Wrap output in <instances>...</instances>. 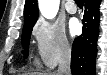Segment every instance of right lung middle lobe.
I'll return each instance as SVG.
<instances>
[{
	"mask_svg": "<svg viewBox=\"0 0 107 75\" xmlns=\"http://www.w3.org/2000/svg\"><path fill=\"white\" fill-rule=\"evenodd\" d=\"M34 26V23H25L22 31V46L24 50L22 51L24 58L28 56L29 51V42H30V36L31 31Z\"/></svg>",
	"mask_w": 107,
	"mask_h": 75,
	"instance_id": "right-lung-middle-lobe-1",
	"label": "right lung middle lobe"
}]
</instances>
